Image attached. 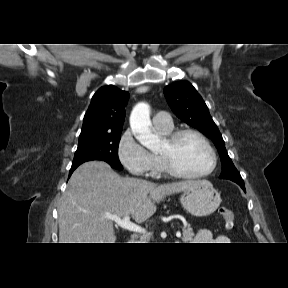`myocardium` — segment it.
Segmentation results:
<instances>
[{
	"label": "myocardium",
	"mask_w": 288,
	"mask_h": 288,
	"mask_svg": "<svg viewBox=\"0 0 288 288\" xmlns=\"http://www.w3.org/2000/svg\"><path fill=\"white\" fill-rule=\"evenodd\" d=\"M194 136L198 138L209 150L212 157V165L209 170L199 173V174H190L182 170L175 161L173 156V151L175 150L178 143L186 136ZM166 143L170 148V152L166 154H158L161 163L165 171L175 177L184 178V179H201L211 175L217 168L218 157L217 153L210 143V141L199 131L194 129H180L174 132H171L165 138Z\"/></svg>",
	"instance_id": "f54148a6"
}]
</instances>
